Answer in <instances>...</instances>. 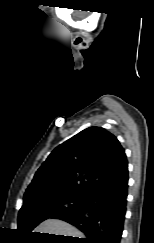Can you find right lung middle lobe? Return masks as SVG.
Returning a JSON list of instances; mask_svg holds the SVG:
<instances>
[{
    "mask_svg": "<svg viewBox=\"0 0 154 243\" xmlns=\"http://www.w3.org/2000/svg\"><path fill=\"white\" fill-rule=\"evenodd\" d=\"M85 202L84 197L57 195L24 203L19 211L17 231L23 236L31 234L32 230L42 221L77 209Z\"/></svg>",
    "mask_w": 154,
    "mask_h": 243,
    "instance_id": "obj_1",
    "label": "right lung middle lobe"
}]
</instances>
